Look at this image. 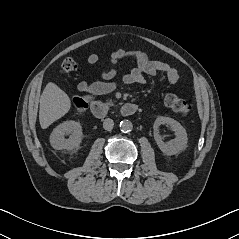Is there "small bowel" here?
<instances>
[{
  "label": "small bowel",
  "mask_w": 239,
  "mask_h": 239,
  "mask_svg": "<svg viewBox=\"0 0 239 239\" xmlns=\"http://www.w3.org/2000/svg\"><path fill=\"white\" fill-rule=\"evenodd\" d=\"M126 58L133 59L136 65L121 77L120 81L124 84H143L145 82L144 75L156 76L160 73L165 74L171 84H176L179 80L178 71L167 63L152 59L140 50L128 51L119 48L111 53L110 67L102 70V80L93 83L82 80L77 84L78 90L92 94H107L114 91L119 84L116 66L121 60ZM99 61L100 57L98 54L93 53L88 56L90 64L94 65Z\"/></svg>",
  "instance_id": "1"
}]
</instances>
